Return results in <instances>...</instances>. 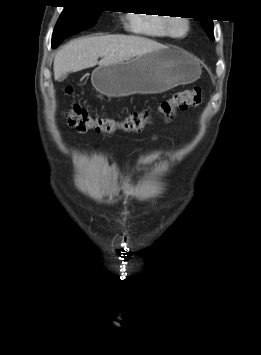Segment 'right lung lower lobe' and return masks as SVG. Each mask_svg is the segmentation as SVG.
I'll return each mask as SVG.
<instances>
[{
	"label": "right lung lower lobe",
	"mask_w": 261,
	"mask_h": 355,
	"mask_svg": "<svg viewBox=\"0 0 261 355\" xmlns=\"http://www.w3.org/2000/svg\"><path fill=\"white\" fill-rule=\"evenodd\" d=\"M62 41H63V40H58V41H56V42H53V43H52V47H53V48H56Z\"/></svg>",
	"instance_id": "98d812e1"
}]
</instances>
